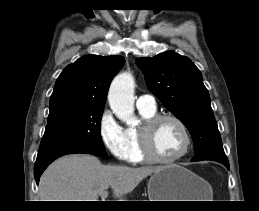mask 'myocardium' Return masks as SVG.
I'll return each mask as SVG.
<instances>
[{
    "label": "myocardium",
    "mask_w": 259,
    "mask_h": 211,
    "mask_svg": "<svg viewBox=\"0 0 259 211\" xmlns=\"http://www.w3.org/2000/svg\"><path fill=\"white\" fill-rule=\"evenodd\" d=\"M164 120H170L175 122L181 129L183 136L185 138V144L181 152H179L177 155L171 158H162L157 156L153 151L152 143H151V134L153 129L155 128L156 125H158L160 122ZM138 136H139L140 149L143 157L145 158L146 161L153 162V163H161V164L174 163L180 160L181 158H183L188 153L192 144L191 134L186 124L183 122L182 119H180L178 116L173 114H155L149 118L144 119L142 125L138 128Z\"/></svg>",
    "instance_id": "myocardium-1"
}]
</instances>
